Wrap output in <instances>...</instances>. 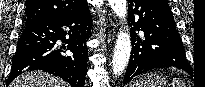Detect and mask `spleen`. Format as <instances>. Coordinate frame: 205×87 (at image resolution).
I'll return each instance as SVG.
<instances>
[{"label":"spleen","mask_w":205,"mask_h":87,"mask_svg":"<svg viewBox=\"0 0 205 87\" xmlns=\"http://www.w3.org/2000/svg\"><path fill=\"white\" fill-rule=\"evenodd\" d=\"M172 86L173 87H185V85L182 82H179L178 80L174 79L172 81Z\"/></svg>","instance_id":"spleen-1"}]
</instances>
